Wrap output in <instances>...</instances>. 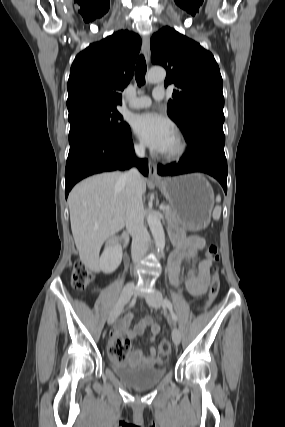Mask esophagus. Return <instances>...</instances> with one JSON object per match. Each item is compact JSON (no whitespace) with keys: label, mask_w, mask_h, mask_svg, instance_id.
<instances>
[{"label":"esophagus","mask_w":285,"mask_h":427,"mask_svg":"<svg viewBox=\"0 0 285 427\" xmlns=\"http://www.w3.org/2000/svg\"><path fill=\"white\" fill-rule=\"evenodd\" d=\"M143 54L147 62L150 61V41L147 36L143 37ZM149 179L153 181L161 180V177L157 174V166L154 162L149 161Z\"/></svg>","instance_id":"34e87169"}]
</instances>
